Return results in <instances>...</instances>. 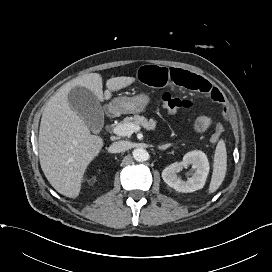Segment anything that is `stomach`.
Masks as SVG:
<instances>
[{"label": "stomach", "mask_w": 272, "mask_h": 272, "mask_svg": "<svg viewBox=\"0 0 272 272\" xmlns=\"http://www.w3.org/2000/svg\"><path fill=\"white\" fill-rule=\"evenodd\" d=\"M150 101L149 95L142 93L134 97H117L109 107L114 113L137 114L143 112Z\"/></svg>", "instance_id": "obj_1"}]
</instances>
